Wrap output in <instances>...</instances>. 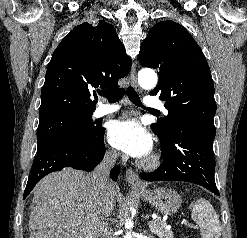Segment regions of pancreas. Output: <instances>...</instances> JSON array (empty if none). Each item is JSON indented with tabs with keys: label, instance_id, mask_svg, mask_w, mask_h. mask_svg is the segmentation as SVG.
I'll return each instance as SVG.
<instances>
[{
	"label": "pancreas",
	"instance_id": "1",
	"mask_svg": "<svg viewBox=\"0 0 247 238\" xmlns=\"http://www.w3.org/2000/svg\"><path fill=\"white\" fill-rule=\"evenodd\" d=\"M150 231L159 238H173V232L161 220H155L149 225Z\"/></svg>",
	"mask_w": 247,
	"mask_h": 238
}]
</instances>
